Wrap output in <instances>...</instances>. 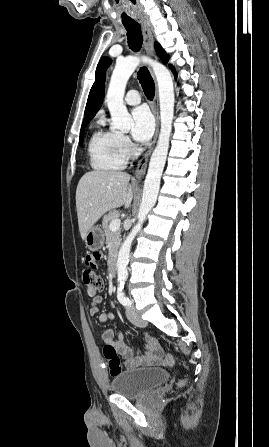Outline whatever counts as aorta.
Here are the masks:
<instances>
[{"mask_svg":"<svg viewBox=\"0 0 269 447\" xmlns=\"http://www.w3.org/2000/svg\"><path fill=\"white\" fill-rule=\"evenodd\" d=\"M140 64H148V66H151L158 82L161 128L156 148L150 158L148 174L144 182L143 198L137 218L138 222L134 225L132 231L127 235L119 249L117 259V281L119 285L124 283L128 277L127 263L129 261L131 243L138 231L142 229V224H144L147 214H149L150 210L156 204L160 180L168 156L174 118V88L169 70L163 64L154 62L148 56H141V58L127 56L123 60L117 58L105 100V104H107L111 114V130H122V132H129L131 130L133 120L126 106L123 104V98L126 84Z\"/></svg>","mask_w":269,"mask_h":447,"instance_id":"762f6f07","label":"aorta"}]
</instances>
